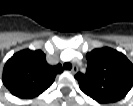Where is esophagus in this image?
I'll use <instances>...</instances> for the list:
<instances>
[{"instance_id": "34e87169", "label": "esophagus", "mask_w": 133, "mask_h": 106, "mask_svg": "<svg viewBox=\"0 0 133 106\" xmlns=\"http://www.w3.org/2000/svg\"><path fill=\"white\" fill-rule=\"evenodd\" d=\"M78 72V67L77 66H73L72 69H71V73L72 74H76Z\"/></svg>"}]
</instances>
